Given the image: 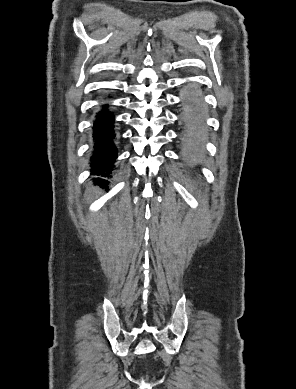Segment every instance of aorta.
Here are the masks:
<instances>
[{
    "label": "aorta",
    "instance_id": "aorta-1",
    "mask_svg": "<svg viewBox=\"0 0 296 389\" xmlns=\"http://www.w3.org/2000/svg\"><path fill=\"white\" fill-rule=\"evenodd\" d=\"M190 89L193 92H196L199 89V86L196 83H193L190 86ZM186 99L189 102H187L184 106V111L186 113L185 130L187 134H190V139H185L183 141L181 154L184 157H189L192 152L197 151L195 153V158L198 161H203L206 158V153L202 149L204 148V142L207 139V134L204 131V118L206 116V106L202 102L204 96L201 93H198L196 96L189 93L186 96Z\"/></svg>",
    "mask_w": 296,
    "mask_h": 389
}]
</instances>
